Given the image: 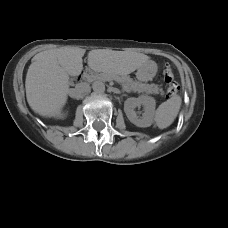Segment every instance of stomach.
I'll use <instances>...</instances> for the list:
<instances>
[{
  "label": "stomach",
  "mask_w": 228,
  "mask_h": 228,
  "mask_svg": "<svg viewBox=\"0 0 228 228\" xmlns=\"http://www.w3.org/2000/svg\"><path fill=\"white\" fill-rule=\"evenodd\" d=\"M156 74V67L152 63H147L145 66L140 67L137 70L136 76L140 81H150L154 78Z\"/></svg>",
  "instance_id": "stomach-1"
}]
</instances>
